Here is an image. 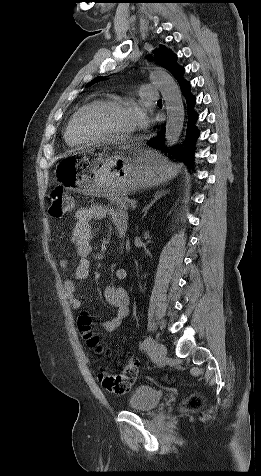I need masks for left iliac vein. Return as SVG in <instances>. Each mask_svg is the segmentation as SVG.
Segmentation results:
<instances>
[{
	"mask_svg": "<svg viewBox=\"0 0 261 476\" xmlns=\"http://www.w3.org/2000/svg\"><path fill=\"white\" fill-rule=\"evenodd\" d=\"M152 354L156 359H162L167 354V349L164 344L156 343L153 347Z\"/></svg>",
	"mask_w": 261,
	"mask_h": 476,
	"instance_id": "obj_1",
	"label": "left iliac vein"
}]
</instances>
